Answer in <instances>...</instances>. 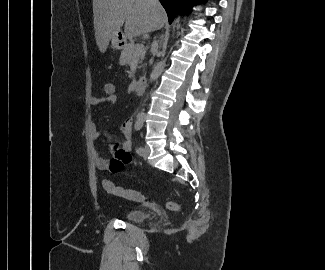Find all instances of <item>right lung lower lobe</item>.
I'll list each match as a JSON object with an SVG mask.
<instances>
[{
    "mask_svg": "<svg viewBox=\"0 0 325 270\" xmlns=\"http://www.w3.org/2000/svg\"><path fill=\"white\" fill-rule=\"evenodd\" d=\"M165 8L168 19L172 22L178 12H188L194 4L205 2L206 0H159Z\"/></svg>",
    "mask_w": 325,
    "mask_h": 270,
    "instance_id": "right-lung-lower-lobe-1",
    "label": "right lung lower lobe"
}]
</instances>
